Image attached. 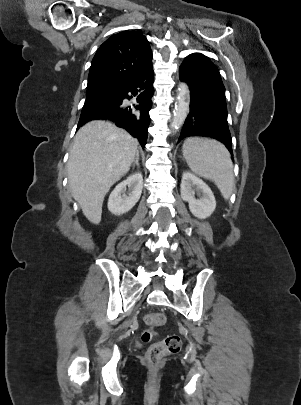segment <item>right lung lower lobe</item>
I'll use <instances>...</instances> for the list:
<instances>
[{"label": "right lung lower lobe", "mask_w": 301, "mask_h": 405, "mask_svg": "<svg viewBox=\"0 0 301 405\" xmlns=\"http://www.w3.org/2000/svg\"><path fill=\"white\" fill-rule=\"evenodd\" d=\"M154 72L150 63L139 75L128 82L110 102L100 104L91 109H82L78 127L88 121L103 119L113 121L118 127L126 129L136 137L142 147L146 144L148 126L150 123L149 110L152 106ZM131 92L132 95H128ZM136 97L134 109L122 106L124 99Z\"/></svg>", "instance_id": "98d812e1"}]
</instances>
